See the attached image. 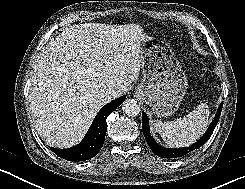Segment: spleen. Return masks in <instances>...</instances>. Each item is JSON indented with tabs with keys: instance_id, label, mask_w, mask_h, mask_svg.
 Returning a JSON list of instances; mask_svg holds the SVG:
<instances>
[{
	"instance_id": "1",
	"label": "spleen",
	"mask_w": 245,
	"mask_h": 189,
	"mask_svg": "<svg viewBox=\"0 0 245 189\" xmlns=\"http://www.w3.org/2000/svg\"><path fill=\"white\" fill-rule=\"evenodd\" d=\"M209 114L207 104L202 103L183 118L168 122L154 120L153 126L169 146H188L206 130L209 125Z\"/></svg>"
}]
</instances>
